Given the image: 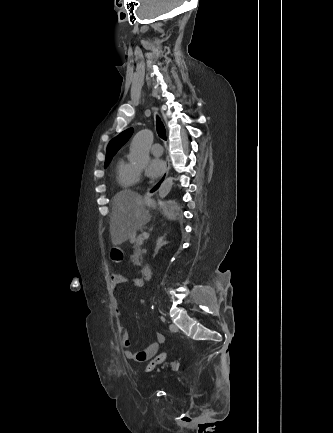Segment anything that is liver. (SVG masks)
<instances>
[{
	"label": "liver",
	"instance_id": "obj_1",
	"mask_svg": "<svg viewBox=\"0 0 333 433\" xmlns=\"http://www.w3.org/2000/svg\"><path fill=\"white\" fill-rule=\"evenodd\" d=\"M151 220L145 203L138 193L131 190L118 192L112 200L110 234L114 246L126 242Z\"/></svg>",
	"mask_w": 333,
	"mask_h": 433
}]
</instances>
